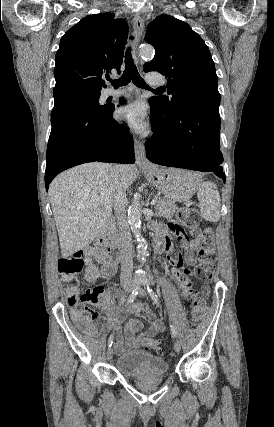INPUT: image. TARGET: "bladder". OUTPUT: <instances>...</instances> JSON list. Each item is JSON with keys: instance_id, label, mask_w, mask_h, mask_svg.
<instances>
[{"instance_id": "1", "label": "bladder", "mask_w": 274, "mask_h": 427, "mask_svg": "<svg viewBox=\"0 0 274 427\" xmlns=\"http://www.w3.org/2000/svg\"><path fill=\"white\" fill-rule=\"evenodd\" d=\"M116 371L127 378L167 376L169 365L166 359L143 349H132L116 357Z\"/></svg>"}]
</instances>
